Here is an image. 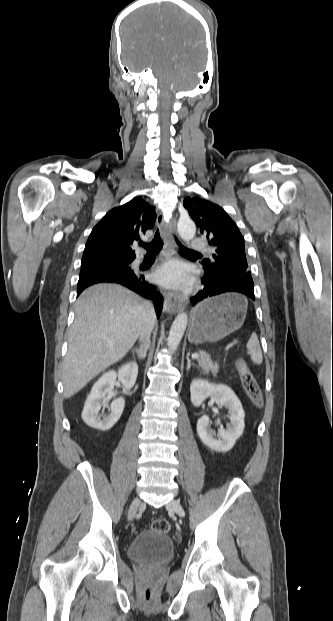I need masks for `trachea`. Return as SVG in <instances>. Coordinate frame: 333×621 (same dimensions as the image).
<instances>
[{
  "label": "trachea",
  "instance_id": "trachea-1",
  "mask_svg": "<svg viewBox=\"0 0 333 621\" xmlns=\"http://www.w3.org/2000/svg\"><path fill=\"white\" fill-rule=\"evenodd\" d=\"M175 239H176V243L178 244V246H179V248H180L181 252H183V253H188V254H199V253H198V252H196V251H193V250H190V249H188V248L184 247V246H183V245H182V244L178 241V239H177L176 237H175ZM140 246H142V247H144V248L146 249L147 254H152V255H155V254L159 253V252H160V250H161V249H162V247H163V241H162V239H161V237H160L159 230H157V231H156L155 236H154L153 240H152L150 243H148V244H145V243H140Z\"/></svg>",
  "mask_w": 333,
  "mask_h": 621
}]
</instances>
